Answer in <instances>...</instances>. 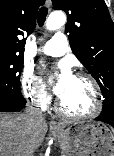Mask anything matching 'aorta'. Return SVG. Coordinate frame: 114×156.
Returning <instances> with one entry per match:
<instances>
[{"mask_svg": "<svg viewBox=\"0 0 114 156\" xmlns=\"http://www.w3.org/2000/svg\"><path fill=\"white\" fill-rule=\"evenodd\" d=\"M66 22V16L61 11H56L50 14L47 22H46V28L48 30H56L60 27H62Z\"/></svg>", "mask_w": 114, "mask_h": 156, "instance_id": "762f6f07", "label": "aorta"}]
</instances>
